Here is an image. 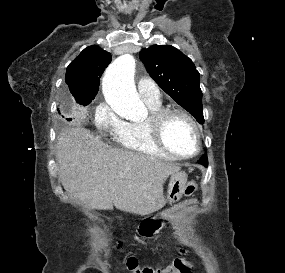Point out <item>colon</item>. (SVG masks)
<instances>
[{"label": "colon", "mask_w": 285, "mask_h": 273, "mask_svg": "<svg viewBox=\"0 0 285 273\" xmlns=\"http://www.w3.org/2000/svg\"><path fill=\"white\" fill-rule=\"evenodd\" d=\"M197 191V183L190 181L187 183L184 195L190 197ZM126 266L131 273H193V262L188 256L186 250H181V256L176 258L172 265L165 268H152V267H141L138 264V260L134 257H129L126 260Z\"/></svg>", "instance_id": "obj_1"}]
</instances>
